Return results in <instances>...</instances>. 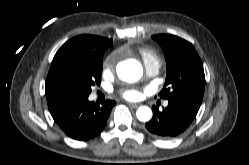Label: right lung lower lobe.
<instances>
[{
    "instance_id": "right-lung-lower-lobe-1",
    "label": "right lung lower lobe",
    "mask_w": 249,
    "mask_h": 165,
    "mask_svg": "<svg viewBox=\"0 0 249 165\" xmlns=\"http://www.w3.org/2000/svg\"><path fill=\"white\" fill-rule=\"evenodd\" d=\"M54 121L75 140L85 141L97 136L105 127L115 101L101 106L88 101V96L64 95L47 100Z\"/></svg>"
}]
</instances>
